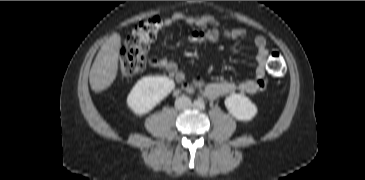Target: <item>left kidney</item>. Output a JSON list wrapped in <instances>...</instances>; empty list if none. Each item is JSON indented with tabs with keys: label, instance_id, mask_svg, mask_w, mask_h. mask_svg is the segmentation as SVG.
<instances>
[{
	"label": "left kidney",
	"instance_id": "1",
	"mask_svg": "<svg viewBox=\"0 0 365 180\" xmlns=\"http://www.w3.org/2000/svg\"><path fill=\"white\" fill-rule=\"evenodd\" d=\"M229 113L237 120L250 121L257 114V106L242 94H232L225 99Z\"/></svg>",
	"mask_w": 365,
	"mask_h": 180
}]
</instances>
